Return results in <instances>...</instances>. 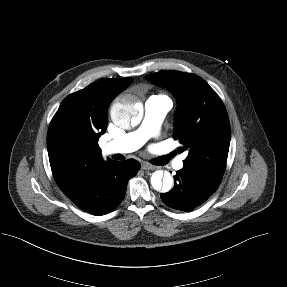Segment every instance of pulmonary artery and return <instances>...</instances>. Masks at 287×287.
I'll use <instances>...</instances> for the list:
<instances>
[{
  "mask_svg": "<svg viewBox=\"0 0 287 287\" xmlns=\"http://www.w3.org/2000/svg\"><path fill=\"white\" fill-rule=\"evenodd\" d=\"M172 107V101L162 95H154L145 102V113L141 125L134 131L126 133L104 146L106 154L129 153L142 147L147 140L158 134L162 121ZM182 156L175 164L176 169L183 167Z\"/></svg>",
  "mask_w": 287,
  "mask_h": 287,
  "instance_id": "e3ab8cb5",
  "label": "pulmonary artery"
}]
</instances>
